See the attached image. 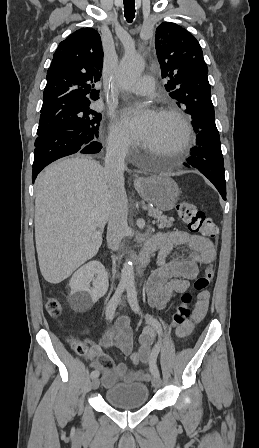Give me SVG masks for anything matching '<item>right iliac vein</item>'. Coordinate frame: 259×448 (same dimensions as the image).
<instances>
[{
	"label": "right iliac vein",
	"instance_id": "right-iliac-vein-1",
	"mask_svg": "<svg viewBox=\"0 0 259 448\" xmlns=\"http://www.w3.org/2000/svg\"><path fill=\"white\" fill-rule=\"evenodd\" d=\"M100 385V380L98 378H94L91 383V387L93 390H96Z\"/></svg>",
	"mask_w": 259,
	"mask_h": 448
}]
</instances>
